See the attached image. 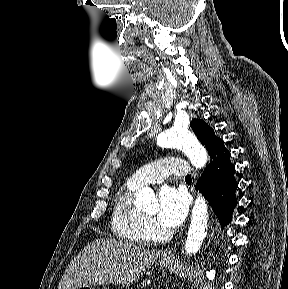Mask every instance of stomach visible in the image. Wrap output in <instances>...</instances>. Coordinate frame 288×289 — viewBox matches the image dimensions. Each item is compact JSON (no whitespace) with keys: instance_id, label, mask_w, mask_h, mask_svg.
Segmentation results:
<instances>
[{"instance_id":"obj_1","label":"stomach","mask_w":288,"mask_h":289,"mask_svg":"<svg viewBox=\"0 0 288 289\" xmlns=\"http://www.w3.org/2000/svg\"><path fill=\"white\" fill-rule=\"evenodd\" d=\"M171 263L172 262L170 260H161L160 267L161 268H166V267L170 266ZM83 289H94V288H92L90 286H86V287H83Z\"/></svg>"}]
</instances>
